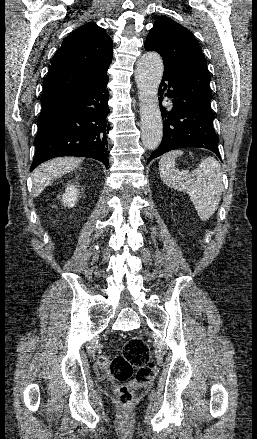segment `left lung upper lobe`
Segmentation results:
<instances>
[{"mask_svg":"<svg viewBox=\"0 0 257 439\" xmlns=\"http://www.w3.org/2000/svg\"><path fill=\"white\" fill-rule=\"evenodd\" d=\"M145 50L158 52L164 62V72L173 74L211 99L210 74L201 47L182 25L168 17H160L145 41Z\"/></svg>","mask_w":257,"mask_h":439,"instance_id":"5c2ea615","label":"left lung upper lobe"}]
</instances>
